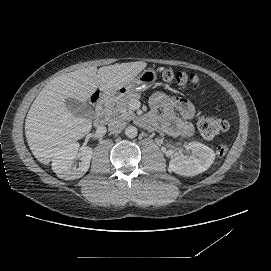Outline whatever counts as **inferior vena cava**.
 <instances>
[{
  "instance_id": "inferior-vena-cava-1",
  "label": "inferior vena cava",
  "mask_w": 271,
  "mask_h": 271,
  "mask_svg": "<svg viewBox=\"0 0 271 271\" xmlns=\"http://www.w3.org/2000/svg\"><path fill=\"white\" fill-rule=\"evenodd\" d=\"M126 126V123L121 119H112L108 123V131L113 134L120 133L124 127Z\"/></svg>"
}]
</instances>
